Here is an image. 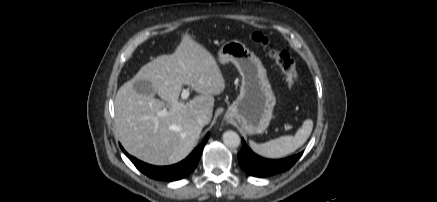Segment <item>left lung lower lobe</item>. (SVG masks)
Wrapping results in <instances>:
<instances>
[{"mask_svg": "<svg viewBox=\"0 0 437 202\" xmlns=\"http://www.w3.org/2000/svg\"><path fill=\"white\" fill-rule=\"evenodd\" d=\"M242 143V149L238 153L240 166L246 173L255 177H266L284 172L290 169L303 153L279 160L265 159L252 152L244 139H242Z\"/></svg>", "mask_w": 437, "mask_h": 202, "instance_id": "1", "label": "left lung lower lobe"}]
</instances>
